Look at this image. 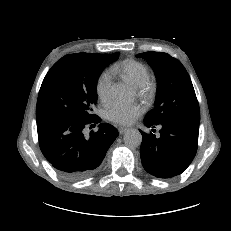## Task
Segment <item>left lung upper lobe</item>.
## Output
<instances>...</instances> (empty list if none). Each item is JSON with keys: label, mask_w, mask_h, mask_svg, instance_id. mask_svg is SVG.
<instances>
[{"label": "left lung upper lobe", "mask_w": 231, "mask_h": 231, "mask_svg": "<svg viewBox=\"0 0 231 231\" xmlns=\"http://www.w3.org/2000/svg\"><path fill=\"white\" fill-rule=\"evenodd\" d=\"M137 57L147 60L158 82L155 108L145 119L154 124L183 119L200 120L196 94L189 74L181 62L163 52H145Z\"/></svg>", "instance_id": "left-lung-upper-lobe-1"}]
</instances>
